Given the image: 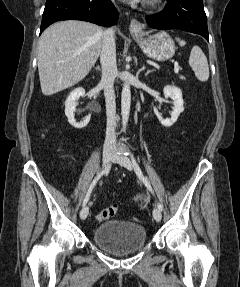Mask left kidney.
<instances>
[{
    "label": "left kidney",
    "mask_w": 240,
    "mask_h": 287,
    "mask_svg": "<svg viewBox=\"0 0 240 287\" xmlns=\"http://www.w3.org/2000/svg\"><path fill=\"white\" fill-rule=\"evenodd\" d=\"M163 92L165 98L169 97L173 100V111L171 113V118L164 119L156 107H154V113L163 126L171 127L177 121L179 115L184 111L182 92L178 87L171 85L165 86Z\"/></svg>",
    "instance_id": "5707ae66"
}]
</instances>
